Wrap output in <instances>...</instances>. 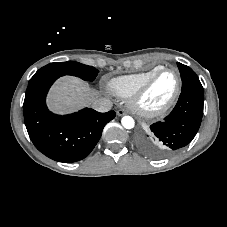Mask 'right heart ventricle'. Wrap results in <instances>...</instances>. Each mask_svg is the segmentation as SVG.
Here are the masks:
<instances>
[{"label":"right heart ventricle","instance_id":"obj_1","mask_svg":"<svg viewBox=\"0 0 227 227\" xmlns=\"http://www.w3.org/2000/svg\"><path fill=\"white\" fill-rule=\"evenodd\" d=\"M162 66H156L150 70L128 74L112 78L107 82V89L115 96L127 98L134 92L157 70Z\"/></svg>","mask_w":227,"mask_h":227}]
</instances>
